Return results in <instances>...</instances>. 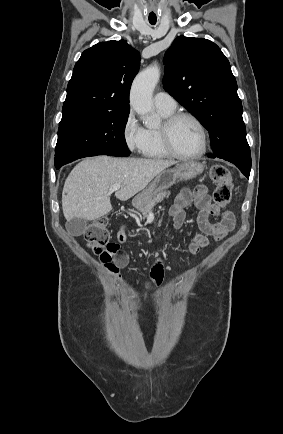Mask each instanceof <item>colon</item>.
Returning a JSON list of instances; mask_svg holds the SVG:
<instances>
[{"label": "colon", "mask_w": 283, "mask_h": 434, "mask_svg": "<svg viewBox=\"0 0 283 434\" xmlns=\"http://www.w3.org/2000/svg\"><path fill=\"white\" fill-rule=\"evenodd\" d=\"M210 178L216 185L213 192L214 203L225 208L232 198V178L229 169L221 164L213 165L210 169ZM88 245L92 250L98 254H103L106 250L110 239V233L108 230V219L102 217L94 221L86 230L84 235Z\"/></svg>", "instance_id": "5ec220e1"}]
</instances>
